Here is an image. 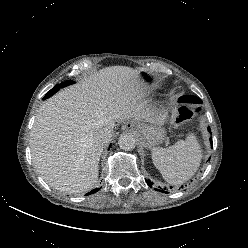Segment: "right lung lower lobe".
Returning <instances> with one entry per match:
<instances>
[{
  "label": "right lung lower lobe",
  "mask_w": 248,
  "mask_h": 248,
  "mask_svg": "<svg viewBox=\"0 0 248 248\" xmlns=\"http://www.w3.org/2000/svg\"><path fill=\"white\" fill-rule=\"evenodd\" d=\"M99 189H94V190H92L91 192H89V193H87L86 195H90V194H92V193H95L96 191H98Z\"/></svg>",
  "instance_id": "1"
}]
</instances>
